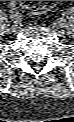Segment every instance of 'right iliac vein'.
Returning <instances> with one entry per match:
<instances>
[{"mask_svg": "<svg viewBox=\"0 0 74 122\" xmlns=\"http://www.w3.org/2000/svg\"><path fill=\"white\" fill-rule=\"evenodd\" d=\"M14 24H15V26H13L12 30H13L14 32H17V31L19 30V26L17 25V22L14 23Z\"/></svg>", "mask_w": 74, "mask_h": 122, "instance_id": "obj_1", "label": "right iliac vein"}]
</instances>
